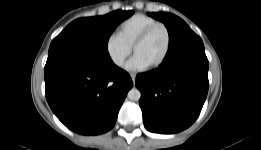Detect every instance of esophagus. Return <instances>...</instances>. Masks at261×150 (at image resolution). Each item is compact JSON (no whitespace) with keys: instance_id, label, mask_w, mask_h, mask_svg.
I'll return each instance as SVG.
<instances>
[{"instance_id":"34e87169","label":"esophagus","mask_w":261,"mask_h":150,"mask_svg":"<svg viewBox=\"0 0 261 150\" xmlns=\"http://www.w3.org/2000/svg\"><path fill=\"white\" fill-rule=\"evenodd\" d=\"M130 76H131V79H132L133 83H135L136 74L135 73H131Z\"/></svg>"}]
</instances>
